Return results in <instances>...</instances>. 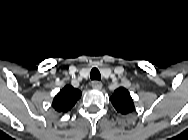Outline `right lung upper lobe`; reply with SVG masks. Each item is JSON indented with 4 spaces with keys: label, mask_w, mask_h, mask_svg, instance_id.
Instances as JSON below:
<instances>
[{
    "label": "right lung upper lobe",
    "mask_w": 188,
    "mask_h": 140,
    "mask_svg": "<svg viewBox=\"0 0 188 140\" xmlns=\"http://www.w3.org/2000/svg\"><path fill=\"white\" fill-rule=\"evenodd\" d=\"M81 97V91L66 85L60 92L54 97L52 107L58 112L69 111Z\"/></svg>",
    "instance_id": "right-lung-upper-lobe-1"
}]
</instances>
